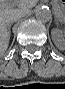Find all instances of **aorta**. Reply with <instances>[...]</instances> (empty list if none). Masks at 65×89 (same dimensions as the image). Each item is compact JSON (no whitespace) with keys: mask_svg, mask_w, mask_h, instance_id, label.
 <instances>
[{"mask_svg":"<svg viewBox=\"0 0 65 89\" xmlns=\"http://www.w3.org/2000/svg\"><path fill=\"white\" fill-rule=\"evenodd\" d=\"M34 12L36 19L42 23H47L52 18V13L48 6L45 5L37 6Z\"/></svg>","mask_w":65,"mask_h":89,"instance_id":"1","label":"aorta"}]
</instances>
